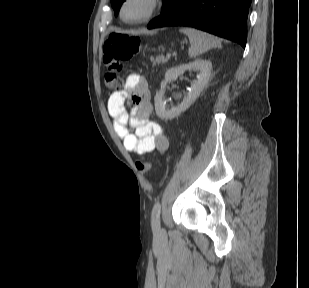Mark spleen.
I'll list each match as a JSON object with an SVG mask.
<instances>
[{
  "instance_id": "1",
  "label": "spleen",
  "mask_w": 309,
  "mask_h": 288,
  "mask_svg": "<svg viewBox=\"0 0 309 288\" xmlns=\"http://www.w3.org/2000/svg\"><path fill=\"white\" fill-rule=\"evenodd\" d=\"M180 32L189 38L191 46L188 55L190 58H195L211 48L221 47V41L206 32L194 28H181Z\"/></svg>"
}]
</instances>
